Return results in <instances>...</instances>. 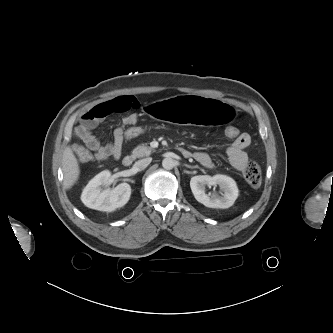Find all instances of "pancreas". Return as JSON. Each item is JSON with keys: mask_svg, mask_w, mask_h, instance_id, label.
<instances>
[{"mask_svg": "<svg viewBox=\"0 0 333 333\" xmlns=\"http://www.w3.org/2000/svg\"><path fill=\"white\" fill-rule=\"evenodd\" d=\"M154 150L151 147L145 146V145H139L138 147H136L133 152L132 155L134 157H143V156H149L151 154V152H153Z\"/></svg>", "mask_w": 333, "mask_h": 333, "instance_id": "obj_1", "label": "pancreas"}]
</instances>
